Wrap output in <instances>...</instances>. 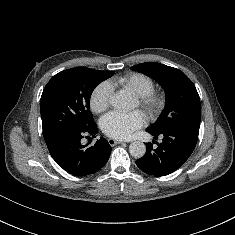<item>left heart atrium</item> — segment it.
Masks as SVG:
<instances>
[{
    "label": "left heart atrium",
    "instance_id": "39dd6f15",
    "mask_svg": "<svg viewBox=\"0 0 235 235\" xmlns=\"http://www.w3.org/2000/svg\"><path fill=\"white\" fill-rule=\"evenodd\" d=\"M146 122L143 112L112 111L106 114L100 121L102 131L109 137L116 139H128Z\"/></svg>",
    "mask_w": 235,
    "mask_h": 235
}]
</instances>
